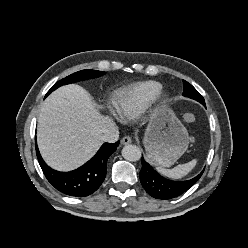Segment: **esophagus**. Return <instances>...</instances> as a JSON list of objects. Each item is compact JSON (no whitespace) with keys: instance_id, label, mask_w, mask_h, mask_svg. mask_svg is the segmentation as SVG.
Wrapping results in <instances>:
<instances>
[{"instance_id":"obj_1","label":"esophagus","mask_w":248,"mask_h":248,"mask_svg":"<svg viewBox=\"0 0 248 248\" xmlns=\"http://www.w3.org/2000/svg\"><path fill=\"white\" fill-rule=\"evenodd\" d=\"M121 143L123 145L130 144V143H132V138L130 136H125L122 138Z\"/></svg>"}]
</instances>
